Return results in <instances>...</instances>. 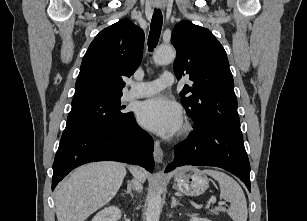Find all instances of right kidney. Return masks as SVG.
Returning a JSON list of instances; mask_svg holds the SVG:
<instances>
[{
  "label": "right kidney",
  "instance_id": "ca27d5eb",
  "mask_svg": "<svg viewBox=\"0 0 307 221\" xmlns=\"http://www.w3.org/2000/svg\"><path fill=\"white\" fill-rule=\"evenodd\" d=\"M122 216L121 210L116 206H109L99 211L91 221H118Z\"/></svg>",
  "mask_w": 307,
  "mask_h": 221
}]
</instances>
